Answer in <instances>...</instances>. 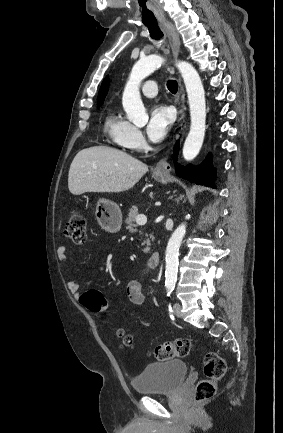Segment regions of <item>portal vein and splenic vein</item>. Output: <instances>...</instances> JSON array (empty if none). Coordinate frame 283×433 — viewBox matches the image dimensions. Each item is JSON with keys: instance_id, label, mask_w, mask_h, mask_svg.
I'll return each instance as SVG.
<instances>
[{"instance_id": "1", "label": "portal vein and splenic vein", "mask_w": 283, "mask_h": 433, "mask_svg": "<svg viewBox=\"0 0 283 433\" xmlns=\"http://www.w3.org/2000/svg\"><path fill=\"white\" fill-rule=\"evenodd\" d=\"M136 223L137 225H145V223H147V217H145V214H138V217H136Z\"/></svg>"}]
</instances>
